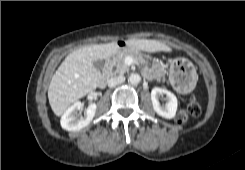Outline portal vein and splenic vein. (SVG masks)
Returning a JSON list of instances; mask_svg holds the SVG:
<instances>
[{
  "label": "portal vein and splenic vein",
  "instance_id": "obj_1",
  "mask_svg": "<svg viewBox=\"0 0 245 170\" xmlns=\"http://www.w3.org/2000/svg\"><path fill=\"white\" fill-rule=\"evenodd\" d=\"M133 63H134L133 58H131V57H126V59H125V64H126L127 66H129V65H131V64H133Z\"/></svg>",
  "mask_w": 245,
  "mask_h": 170
}]
</instances>
